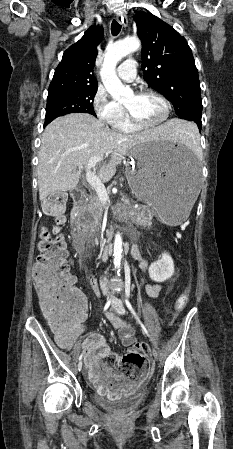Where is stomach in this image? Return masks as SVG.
<instances>
[{
    "mask_svg": "<svg viewBox=\"0 0 233 449\" xmlns=\"http://www.w3.org/2000/svg\"><path fill=\"white\" fill-rule=\"evenodd\" d=\"M126 178L132 192L161 222L179 225L199 200L200 168L189 150L169 142H143L131 150Z\"/></svg>",
    "mask_w": 233,
    "mask_h": 449,
    "instance_id": "1",
    "label": "stomach"
}]
</instances>
